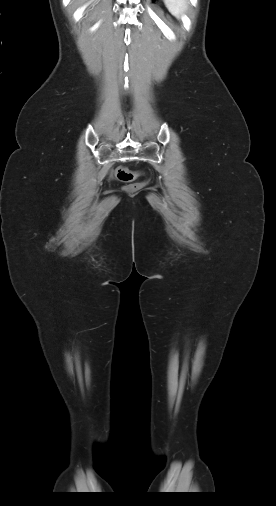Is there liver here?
Here are the masks:
<instances>
[{
    "instance_id": "1",
    "label": "liver",
    "mask_w": 276,
    "mask_h": 506,
    "mask_svg": "<svg viewBox=\"0 0 276 506\" xmlns=\"http://www.w3.org/2000/svg\"><path fill=\"white\" fill-rule=\"evenodd\" d=\"M85 2H86V0H77V1H75V3H76L77 5H82V4H84Z\"/></svg>"
}]
</instances>
